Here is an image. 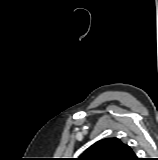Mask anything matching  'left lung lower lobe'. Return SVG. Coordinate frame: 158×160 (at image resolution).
Returning a JSON list of instances; mask_svg holds the SVG:
<instances>
[{"label": "left lung lower lobe", "mask_w": 158, "mask_h": 160, "mask_svg": "<svg viewBox=\"0 0 158 160\" xmlns=\"http://www.w3.org/2000/svg\"><path fill=\"white\" fill-rule=\"evenodd\" d=\"M133 160H139V158H137L136 155H135V157L133 158Z\"/></svg>", "instance_id": "1"}]
</instances>
